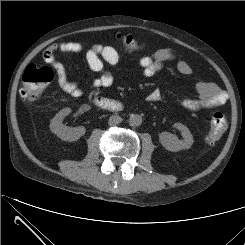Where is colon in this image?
<instances>
[{"label":"colon","mask_w":245,"mask_h":245,"mask_svg":"<svg viewBox=\"0 0 245 245\" xmlns=\"http://www.w3.org/2000/svg\"><path fill=\"white\" fill-rule=\"evenodd\" d=\"M124 48L128 51L139 49L137 41L129 35H118ZM53 70L50 67H38L33 64L27 66L22 76L21 97L26 101L36 100L43 89L52 81ZM227 126V118L222 112L213 113L210 121V129L206 136L209 143L220 139Z\"/></svg>","instance_id":"5ec220e1"}]
</instances>
